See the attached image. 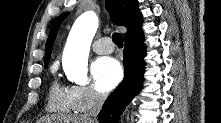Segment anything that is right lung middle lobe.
Returning a JSON list of instances; mask_svg holds the SVG:
<instances>
[{
    "mask_svg": "<svg viewBox=\"0 0 221 123\" xmlns=\"http://www.w3.org/2000/svg\"><path fill=\"white\" fill-rule=\"evenodd\" d=\"M48 62L45 63V68H47Z\"/></svg>",
    "mask_w": 221,
    "mask_h": 123,
    "instance_id": "1",
    "label": "right lung middle lobe"
}]
</instances>
